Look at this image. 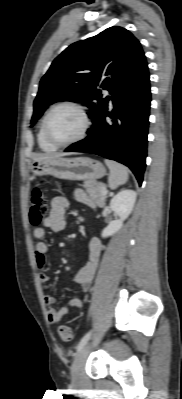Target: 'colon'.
Listing matches in <instances>:
<instances>
[{
    "instance_id": "5ec220e1",
    "label": "colon",
    "mask_w": 182,
    "mask_h": 399,
    "mask_svg": "<svg viewBox=\"0 0 182 399\" xmlns=\"http://www.w3.org/2000/svg\"><path fill=\"white\" fill-rule=\"evenodd\" d=\"M48 214V204L45 190L41 185L35 187L30 198V214L29 219L32 226L40 225ZM58 335L65 342L72 341L73 332L70 326L60 325L58 327Z\"/></svg>"
}]
</instances>
